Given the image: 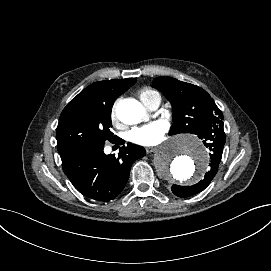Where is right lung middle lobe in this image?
I'll return each instance as SVG.
<instances>
[{"label":"right lung middle lobe","mask_w":271,"mask_h":271,"mask_svg":"<svg viewBox=\"0 0 271 271\" xmlns=\"http://www.w3.org/2000/svg\"><path fill=\"white\" fill-rule=\"evenodd\" d=\"M136 82L110 84L82 91L62 111L57 126V149L61 154L83 145L117 140L110 131L114 101Z\"/></svg>","instance_id":"1"}]
</instances>
